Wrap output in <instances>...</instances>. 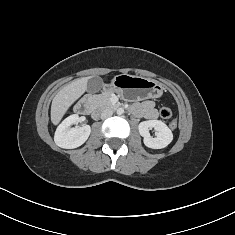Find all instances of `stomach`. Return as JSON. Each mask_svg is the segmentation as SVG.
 I'll use <instances>...</instances> for the list:
<instances>
[{
	"label": "stomach",
	"instance_id": "stomach-1",
	"mask_svg": "<svg viewBox=\"0 0 235 235\" xmlns=\"http://www.w3.org/2000/svg\"><path fill=\"white\" fill-rule=\"evenodd\" d=\"M106 90L115 92L128 101L154 99L163 94V86L158 81L129 74L115 76Z\"/></svg>",
	"mask_w": 235,
	"mask_h": 235
}]
</instances>
